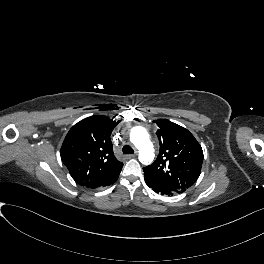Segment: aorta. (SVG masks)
<instances>
[{
    "instance_id": "1",
    "label": "aorta",
    "mask_w": 264,
    "mask_h": 264,
    "mask_svg": "<svg viewBox=\"0 0 264 264\" xmlns=\"http://www.w3.org/2000/svg\"><path fill=\"white\" fill-rule=\"evenodd\" d=\"M131 140L139 150L140 162L143 164L151 163L154 158L153 146L146 129L134 127L131 131Z\"/></svg>"
}]
</instances>
